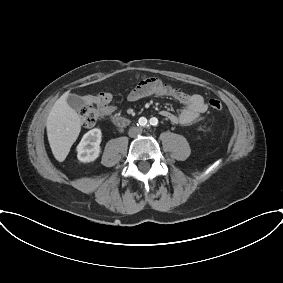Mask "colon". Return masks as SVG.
Listing matches in <instances>:
<instances>
[{
  "mask_svg": "<svg viewBox=\"0 0 283 283\" xmlns=\"http://www.w3.org/2000/svg\"><path fill=\"white\" fill-rule=\"evenodd\" d=\"M151 81H157L156 79H150ZM208 105L211 110L213 111H221L223 108V105L220 100L216 98H212L208 101ZM102 111L99 108H96L94 106H86L81 111V118L83 121V124L86 127H92L94 126L101 118H102Z\"/></svg>",
  "mask_w": 283,
  "mask_h": 283,
  "instance_id": "colon-1",
  "label": "colon"
}]
</instances>
